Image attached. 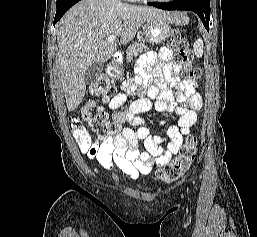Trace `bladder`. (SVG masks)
<instances>
[{
  "label": "bladder",
  "mask_w": 257,
  "mask_h": 237,
  "mask_svg": "<svg viewBox=\"0 0 257 237\" xmlns=\"http://www.w3.org/2000/svg\"><path fill=\"white\" fill-rule=\"evenodd\" d=\"M141 190H142V191H147V189H146V188H141Z\"/></svg>",
  "instance_id": "1"
}]
</instances>
